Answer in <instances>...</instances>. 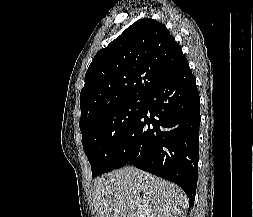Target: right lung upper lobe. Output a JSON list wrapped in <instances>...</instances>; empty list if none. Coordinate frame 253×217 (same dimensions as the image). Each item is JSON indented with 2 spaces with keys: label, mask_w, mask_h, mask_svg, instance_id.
I'll return each mask as SVG.
<instances>
[{
  "label": "right lung upper lobe",
  "mask_w": 253,
  "mask_h": 217,
  "mask_svg": "<svg viewBox=\"0 0 253 217\" xmlns=\"http://www.w3.org/2000/svg\"><path fill=\"white\" fill-rule=\"evenodd\" d=\"M186 60L165 25L136 21L91 62L80 93L79 125L118 102L146 97Z\"/></svg>",
  "instance_id": "cb5924a9"
}]
</instances>
